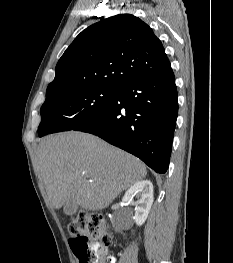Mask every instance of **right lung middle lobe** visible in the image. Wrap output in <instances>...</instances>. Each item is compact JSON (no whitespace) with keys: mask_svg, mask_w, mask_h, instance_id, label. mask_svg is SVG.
I'll use <instances>...</instances> for the list:
<instances>
[{"mask_svg":"<svg viewBox=\"0 0 233 263\" xmlns=\"http://www.w3.org/2000/svg\"><path fill=\"white\" fill-rule=\"evenodd\" d=\"M116 88L86 87L47 97L40 109L39 136L69 131L105 110Z\"/></svg>","mask_w":233,"mask_h":263,"instance_id":"1","label":"right lung middle lobe"}]
</instances>
